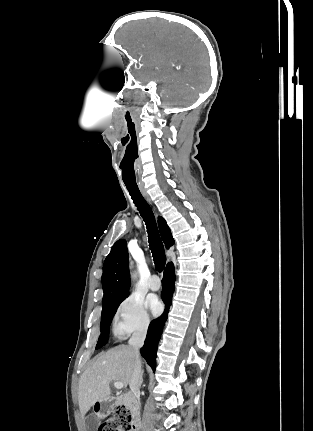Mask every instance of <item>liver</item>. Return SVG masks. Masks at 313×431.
Masks as SVG:
<instances>
[{
  "label": "liver",
  "mask_w": 313,
  "mask_h": 431,
  "mask_svg": "<svg viewBox=\"0 0 313 431\" xmlns=\"http://www.w3.org/2000/svg\"><path fill=\"white\" fill-rule=\"evenodd\" d=\"M134 364L130 346L120 345L97 356L79 380L78 403L83 418L96 402L109 400L110 382L129 385Z\"/></svg>",
  "instance_id": "1"
}]
</instances>
